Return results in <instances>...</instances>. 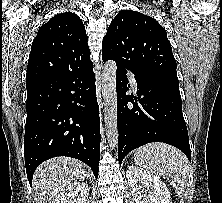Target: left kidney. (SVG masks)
Here are the masks:
<instances>
[{"label":"left kidney","instance_id":"obj_1","mask_svg":"<svg viewBox=\"0 0 222 203\" xmlns=\"http://www.w3.org/2000/svg\"><path fill=\"white\" fill-rule=\"evenodd\" d=\"M126 176L135 203H172L166 184L153 173L132 165Z\"/></svg>","mask_w":222,"mask_h":203}]
</instances>
